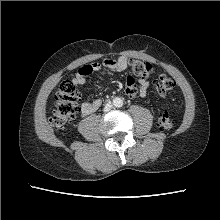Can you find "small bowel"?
<instances>
[{"instance_id":"small-bowel-1","label":"small bowel","mask_w":220,"mask_h":220,"mask_svg":"<svg viewBox=\"0 0 220 220\" xmlns=\"http://www.w3.org/2000/svg\"><path fill=\"white\" fill-rule=\"evenodd\" d=\"M106 67L112 72H122L128 66V59L125 56H121L118 59H105L103 63L93 62L86 65H83L79 68L76 75L72 79V82L75 85H83L86 82L87 77L95 71L101 69V67ZM139 88H137L136 84L134 86L125 85V93L129 97H135L140 95L141 97H145L148 92L149 83L146 79L140 78L138 80ZM102 100L95 99L92 101L83 102L80 107L81 115L88 116L99 109L101 106Z\"/></svg>"}]
</instances>
